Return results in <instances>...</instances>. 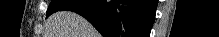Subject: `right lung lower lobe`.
I'll return each instance as SVG.
<instances>
[{"label": "right lung lower lobe", "instance_id": "1", "mask_svg": "<svg viewBox=\"0 0 219 37\" xmlns=\"http://www.w3.org/2000/svg\"><path fill=\"white\" fill-rule=\"evenodd\" d=\"M157 0H76L61 11L86 18L104 37H149Z\"/></svg>", "mask_w": 219, "mask_h": 37}]
</instances>
